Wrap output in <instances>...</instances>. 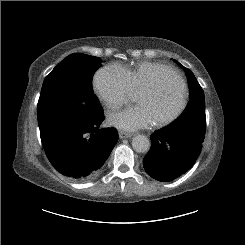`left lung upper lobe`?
<instances>
[{
	"instance_id": "5c2ea615",
	"label": "left lung upper lobe",
	"mask_w": 245,
	"mask_h": 245,
	"mask_svg": "<svg viewBox=\"0 0 245 245\" xmlns=\"http://www.w3.org/2000/svg\"><path fill=\"white\" fill-rule=\"evenodd\" d=\"M175 62L179 64L188 75L191 89V99L180 117L164 128L174 133L190 134L199 140L204 141L206 116L203 89L190 69L182 66L177 61Z\"/></svg>"
}]
</instances>
